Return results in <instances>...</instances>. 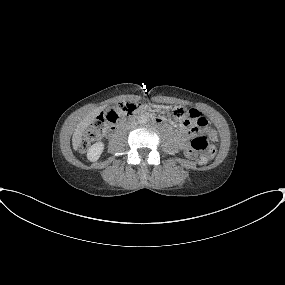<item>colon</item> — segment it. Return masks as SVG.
<instances>
[{"label": "colon", "mask_w": 285, "mask_h": 285, "mask_svg": "<svg viewBox=\"0 0 285 285\" xmlns=\"http://www.w3.org/2000/svg\"><path fill=\"white\" fill-rule=\"evenodd\" d=\"M139 108V102L123 101L112 107L107 113L98 116L96 120L80 134L77 140L79 150L85 152L93 142L102 137L112 124L121 121L124 116L129 115ZM173 115L181 120L186 115V111L183 108L176 107L173 110ZM192 121L200 126L205 124L203 116L192 119ZM209 136L214 138L215 132L210 130ZM185 150L188 153L200 152L198 158V163L200 165L208 164L214 158L216 153L215 147L209 144L207 137L198 133L195 127H192L190 130Z\"/></svg>", "instance_id": "obj_1"}]
</instances>
